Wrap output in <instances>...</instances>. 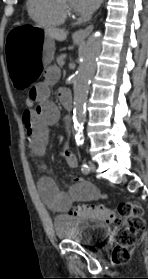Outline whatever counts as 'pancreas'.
<instances>
[{
	"label": "pancreas",
	"mask_w": 148,
	"mask_h": 279,
	"mask_svg": "<svg viewBox=\"0 0 148 279\" xmlns=\"http://www.w3.org/2000/svg\"><path fill=\"white\" fill-rule=\"evenodd\" d=\"M65 58H66L65 54H62L57 58V63L60 67H62L64 65V59Z\"/></svg>",
	"instance_id": "obj_1"
}]
</instances>
